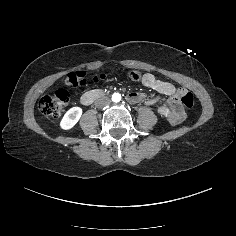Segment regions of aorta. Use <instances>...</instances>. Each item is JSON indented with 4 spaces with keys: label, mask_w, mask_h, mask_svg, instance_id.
<instances>
[{
    "label": "aorta",
    "mask_w": 236,
    "mask_h": 236,
    "mask_svg": "<svg viewBox=\"0 0 236 236\" xmlns=\"http://www.w3.org/2000/svg\"><path fill=\"white\" fill-rule=\"evenodd\" d=\"M112 100H113L114 102H120V101H121V95H120L119 93H114V94L112 95Z\"/></svg>",
    "instance_id": "obj_1"
}]
</instances>
